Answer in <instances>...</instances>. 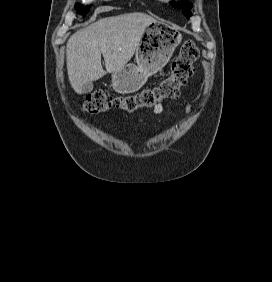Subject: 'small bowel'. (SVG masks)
<instances>
[{"mask_svg":"<svg viewBox=\"0 0 272 282\" xmlns=\"http://www.w3.org/2000/svg\"><path fill=\"white\" fill-rule=\"evenodd\" d=\"M152 112H153L154 114H160V113L162 112V106H160V105L156 106V107L152 110ZM185 112H186L187 114H189V113L191 112V105H187V106H186ZM142 122H143V119H142V118H139L138 121H137V123H142Z\"/></svg>","mask_w":272,"mask_h":282,"instance_id":"small-bowel-1","label":"small bowel"}]
</instances>
